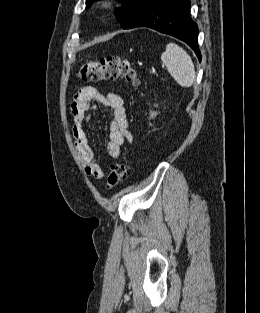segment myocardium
<instances>
[{
  "mask_svg": "<svg viewBox=\"0 0 260 313\" xmlns=\"http://www.w3.org/2000/svg\"><path fill=\"white\" fill-rule=\"evenodd\" d=\"M114 5L113 0H102L101 1V6L105 9H111Z\"/></svg>",
  "mask_w": 260,
  "mask_h": 313,
  "instance_id": "obj_1",
  "label": "myocardium"
}]
</instances>
